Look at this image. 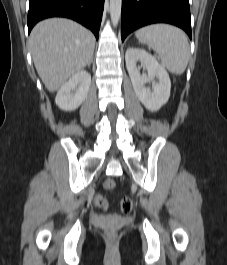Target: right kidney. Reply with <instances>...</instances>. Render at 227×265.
<instances>
[{"label": "right kidney", "mask_w": 227, "mask_h": 265, "mask_svg": "<svg viewBox=\"0 0 227 265\" xmlns=\"http://www.w3.org/2000/svg\"><path fill=\"white\" fill-rule=\"evenodd\" d=\"M91 75L84 70L75 73L57 92L55 103L65 111L77 109L86 99Z\"/></svg>", "instance_id": "1"}]
</instances>
